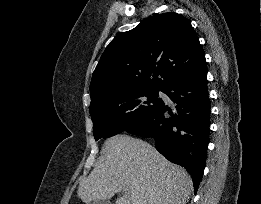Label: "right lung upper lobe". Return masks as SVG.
Masks as SVG:
<instances>
[{
    "label": "right lung upper lobe",
    "instance_id": "right-lung-upper-lobe-1",
    "mask_svg": "<svg viewBox=\"0 0 261 204\" xmlns=\"http://www.w3.org/2000/svg\"><path fill=\"white\" fill-rule=\"evenodd\" d=\"M204 58L186 18L174 12L155 14L106 47L90 83V107L122 91L162 90Z\"/></svg>",
    "mask_w": 261,
    "mask_h": 204
}]
</instances>
